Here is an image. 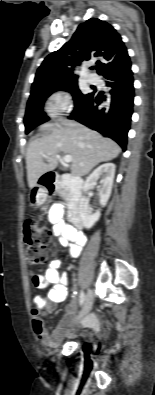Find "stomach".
<instances>
[{
	"label": "stomach",
	"mask_w": 155,
	"mask_h": 395,
	"mask_svg": "<svg viewBox=\"0 0 155 395\" xmlns=\"http://www.w3.org/2000/svg\"><path fill=\"white\" fill-rule=\"evenodd\" d=\"M46 200V192L43 188L35 186L29 194V201L32 206H39Z\"/></svg>",
	"instance_id": "1"
}]
</instances>
